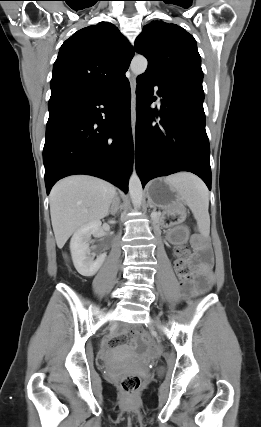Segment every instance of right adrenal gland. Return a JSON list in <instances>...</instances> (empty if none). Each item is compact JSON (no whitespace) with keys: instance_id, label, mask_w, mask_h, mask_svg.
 Here are the masks:
<instances>
[{"instance_id":"right-adrenal-gland-1","label":"right adrenal gland","mask_w":261,"mask_h":427,"mask_svg":"<svg viewBox=\"0 0 261 427\" xmlns=\"http://www.w3.org/2000/svg\"><path fill=\"white\" fill-rule=\"evenodd\" d=\"M119 203H120V199H119L118 195L116 194L115 198L113 200L112 206H111L109 212L107 213V215L111 214V215L115 216V214L118 211Z\"/></svg>"}]
</instances>
